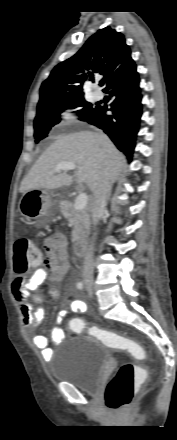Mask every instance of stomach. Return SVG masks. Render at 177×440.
Listing matches in <instances>:
<instances>
[{
  "mask_svg": "<svg viewBox=\"0 0 177 440\" xmlns=\"http://www.w3.org/2000/svg\"><path fill=\"white\" fill-rule=\"evenodd\" d=\"M19 211L24 217L36 221L39 225H44L57 212V205L47 190L33 189L22 195L19 201Z\"/></svg>",
  "mask_w": 177,
  "mask_h": 440,
  "instance_id": "obj_1",
  "label": "stomach"
}]
</instances>
